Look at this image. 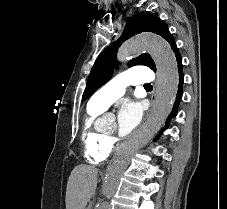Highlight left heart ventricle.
Here are the masks:
<instances>
[{"label": "left heart ventricle", "mask_w": 227, "mask_h": 209, "mask_svg": "<svg viewBox=\"0 0 227 209\" xmlns=\"http://www.w3.org/2000/svg\"><path fill=\"white\" fill-rule=\"evenodd\" d=\"M115 131V127H114V129L112 130V132L111 133H113Z\"/></svg>", "instance_id": "left-heart-ventricle-1"}]
</instances>
